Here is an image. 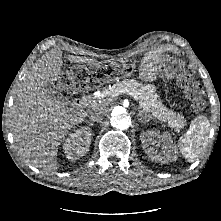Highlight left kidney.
<instances>
[{
	"instance_id": "obj_1",
	"label": "left kidney",
	"mask_w": 221,
	"mask_h": 221,
	"mask_svg": "<svg viewBox=\"0 0 221 221\" xmlns=\"http://www.w3.org/2000/svg\"><path fill=\"white\" fill-rule=\"evenodd\" d=\"M141 141L151 160L167 162L177 159L176 149L169 134L148 132L141 136ZM158 147H161V152L158 151Z\"/></svg>"
}]
</instances>
